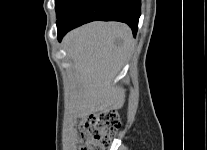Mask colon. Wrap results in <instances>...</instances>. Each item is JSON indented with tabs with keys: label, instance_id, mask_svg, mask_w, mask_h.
<instances>
[{
	"label": "colon",
	"instance_id": "1",
	"mask_svg": "<svg viewBox=\"0 0 207 150\" xmlns=\"http://www.w3.org/2000/svg\"><path fill=\"white\" fill-rule=\"evenodd\" d=\"M80 126V150H105L117 134L121 122L116 111L107 110L84 117Z\"/></svg>",
	"mask_w": 207,
	"mask_h": 150
}]
</instances>
